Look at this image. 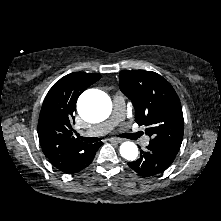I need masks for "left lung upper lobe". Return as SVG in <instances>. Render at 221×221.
Here are the masks:
<instances>
[{
    "mask_svg": "<svg viewBox=\"0 0 221 221\" xmlns=\"http://www.w3.org/2000/svg\"><path fill=\"white\" fill-rule=\"evenodd\" d=\"M119 86L135 107V121L147 126L153 143L180 149L184 119L181 103L171 86L159 74L144 70L121 71Z\"/></svg>",
    "mask_w": 221,
    "mask_h": 221,
    "instance_id": "5c2ea615",
    "label": "left lung upper lobe"
}]
</instances>
